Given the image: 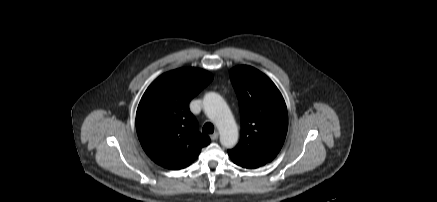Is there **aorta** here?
<instances>
[{"mask_svg": "<svg viewBox=\"0 0 437 202\" xmlns=\"http://www.w3.org/2000/svg\"><path fill=\"white\" fill-rule=\"evenodd\" d=\"M203 108L219 130L221 145L234 147L238 141V128L225 100L219 94L209 92L204 97Z\"/></svg>", "mask_w": 437, "mask_h": 202, "instance_id": "762f6f07", "label": "aorta"}]
</instances>
